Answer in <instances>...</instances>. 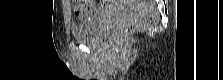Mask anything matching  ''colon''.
Returning <instances> with one entry per match:
<instances>
[{
    "label": "colon",
    "instance_id": "obj_1",
    "mask_svg": "<svg viewBox=\"0 0 223 80\" xmlns=\"http://www.w3.org/2000/svg\"><path fill=\"white\" fill-rule=\"evenodd\" d=\"M73 3L76 5L82 6L85 2H82L81 0H74ZM155 22H156L155 14L150 13L145 18H143L140 22L126 24L122 26L121 28H119L117 31H115L113 35V39L116 41L121 38H124L125 36L133 32L139 26H149V25L154 24Z\"/></svg>",
    "mask_w": 223,
    "mask_h": 80
}]
</instances>
